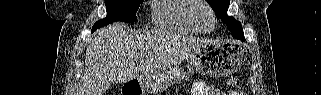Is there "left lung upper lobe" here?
I'll use <instances>...</instances> for the list:
<instances>
[{
  "mask_svg": "<svg viewBox=\"0 0 321 95\" xmlns=\"http://www.w3.org/2000/svg\"><path fill=\"white\" fill-rule=\"evenodd\" d=\"M220 19L227 25V28L231 31V35L237 39L243 35V29L239 21H236L232 16L227 15V10L230 4V0H206Z\"/></svg>",
  "mask_w": 321,
  "mask_h": 95,
  "instance_id": "5c2ea615",
  "label": "left lung upper lobe"
}]
</instances>
